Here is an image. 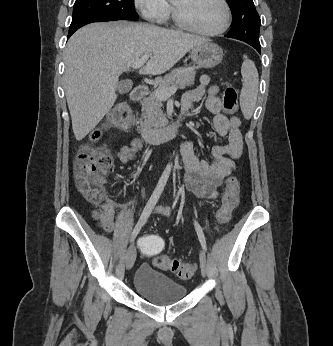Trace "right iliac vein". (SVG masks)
Listing matches in <instances>:
<instances>
[{
	"mask_svg": "<svg viewBox=\"0 0 333 346\" xmlns=\"http://www.w3.org/2000/svg\"><path fill=\"white\" fill-rule=\"evenodd\" d=\"M136 260V247L134 244H131L126 252L125 264L127 269H131Z\"/></svg>",
	"mask_w": 333,
	"mask_h": 346,
	"instance_id": "1",
	"label": "right iliac vein"
}]
</instances>
